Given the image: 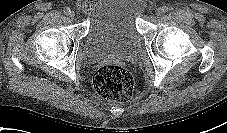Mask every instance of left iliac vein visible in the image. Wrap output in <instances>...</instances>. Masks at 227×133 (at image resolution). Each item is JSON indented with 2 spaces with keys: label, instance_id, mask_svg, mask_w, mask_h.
I'll list each match as a JSON object with an SVG mask.
<instances>
[{
  "label": "left iliac vein",
  "instance_id": "left-iliac-vein-1",
  "mask_svg": "<svg viewBox=\"0 0 227 133\" xmlns=\"http://www.w3.org/2000/svg\"><path fill=\"white\" fill-rule=\"evenodd\" d=\"M156 15L160 16L163 13V8L159 7L155 10Z\"/></svg>",
  "mask_w": 227,
  "mask_h": 133
}]
</instances>
